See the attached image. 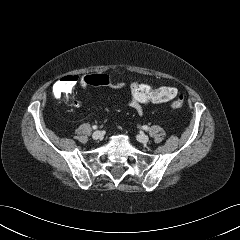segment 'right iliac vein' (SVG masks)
<instances>
[{"label":"right iliac vein","instance_id":"right-iliac-vein-1","mask_svg":"<svg viewBox=\"0 0 240 240\" xmlns=\"http://www.w3.org/2000/svg\"><path fill=\"white\" fill-rule=\"evenodd\" d=\"M92 138L94 140H101L103 138V133L101 131H95L93 134H92Z\"/></svg>","mask_w":240,"mask_h":240}]
</instances>
